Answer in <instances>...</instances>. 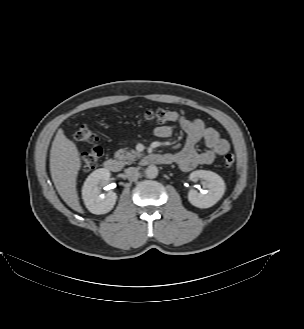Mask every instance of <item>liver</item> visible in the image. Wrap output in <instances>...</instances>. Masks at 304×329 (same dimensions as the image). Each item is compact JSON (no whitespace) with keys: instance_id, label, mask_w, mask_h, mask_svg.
Returning <instances> with one entry per match:
<instances>
[{"instance_id":"liver-1","label":"liver","mask_w":304,"mask_h":329,"mask_svg":"<svg viewBox=\"0 0 304 329\" xmlns=\"http://www.w3.org/2000/svg\"><path fill=\"white\" fill-rule=\"evenodd\" d=\"M81 159L76 145L58 130L50 150V173L61 198L73 210L83 213L76 189Z\"/></svg>"}]
</instances>
